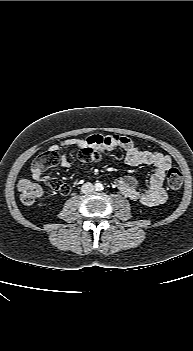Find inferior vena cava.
Masks as SVG:
<instances>
[{
	"instance_id": "602c4592",
	"label": "inferior vena cava",
	"mask_w": 193,
	"mask_h": 351,
	"mask_svg": "<svg viewBox=\"0 0 193 351\" xmlns=\"http://www.w3.org/2000/svg\"><path fill=\"white\" fill-rule=\"evenodd\" d=\"M93 190H94V186L90 182L84 183L81 187V191L84 194H89V193L93 192Z\"/></svg>"
}]
</instances>
